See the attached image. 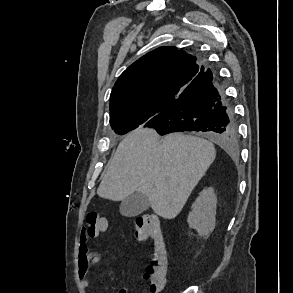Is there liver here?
I'll list each match as a JSON object with an SVG mask.
<instances>
[{
    "instance_id": "obj_1",
    "label": "liver",
    "mask_w": 293,
    "mask_h": 293,
    "mask_svg": "<svg viewBox=\"0 0 293 293\" xmlns=\"http://www.w3.org/2000/svg\"><path fill=\"white\" fill-rule=\"evenodd\" d=\"M215 156L214 145L203 138L172 133L160 139L154 129L139 127L118 145L97 194L121 201L140 192L156 214L173 219Z\"/></svg>"
}]
</instances>
